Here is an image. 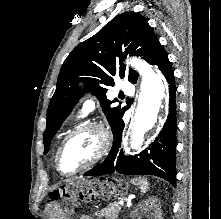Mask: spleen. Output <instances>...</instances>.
Segmentation results:
<instances>
[{"label": "spleen", "mask_w": 221, "mask_h": 219, "mask_svg": "<svg viewBox=\"0 0 221 219\" xmlns=\"http://www.w3.org/2000/svg\"><path fill=\"white\" fill-rule=\"evenodd\" d=\"M136 184L139 185L141 192L146 193L149 189V183L146 179H136Z\"/></svg>", "instance_id": "1"}]
</instances>
